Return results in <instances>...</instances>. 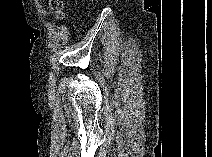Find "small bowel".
<instances>
[{
  "label": "small bowel",
  "mask_w": 212,
  "mask_h": 157,
  "mask_svg": "<svg viewBox=\"0 0 212 157\" xmlns=\"http://www.w3.org/2000/svg\"><path fill=\"white\" fill-rule=\"evenodd\" d=\"M38 9L42 16H44V17L48 16L47 11L44 9V7L42 6L41 3H38Z\"/></svg>",
  "instance_id": "small-bowel-1"
}]
</instances>
